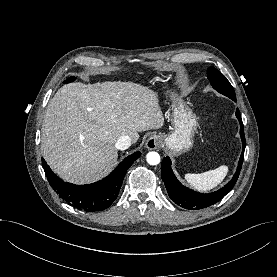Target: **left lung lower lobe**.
Wrapping results in <instances>:
<instances>
[{
  "label": "left lung lower lobe",
  "mask_w": 277,
  "mask_h": 277,
  "mask_svg": "<svg viewBox=\"0 0 277 277\" xmlns=\"http://www.w3.org/2000/svg\"><path fill=\"white\" fill-rule=\"evenodd\" d=\"M236 116L240 122V127H241L240 136L242 139L243 150L239 159V163H238V167L235 175L233 176L232 180L227 185H225L222 189L210 194H201L196 191H193L192 189H189L183 186L177 180V178L175 177L171 169L170 158L165 157L162 160V166H161L162 180L164 181L169 197L177 205L184 207L186 209H192V210L207 208L217 203L218 201H220L235 185L240 173V169L242 167L244 150H245L244 128H243L240 112L238 109L236 110Z\"/></svg>",
  "instance_id": "0a47b994"
}]
</instances>
